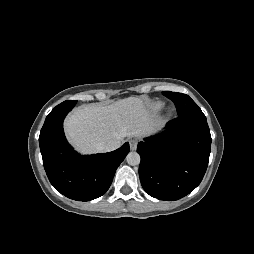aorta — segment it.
Wrapping results in <instances>:
<instances>
[{
    "mask_svg": "<svg viewBox=\"0 0 254 254\" xmlns=\"http://www.w3.org/2000/svg\"><path fill=\"white\" fill-rule=\"evenodd\" d=\"M129 165L136 166L140 164V155L137 152H129L126 156Z\"/></svg>",
    "mask_w": 254,
    "mask_h": 254,
    "instance_id": "1",
    "label": "aorta"
}]
</instances>
